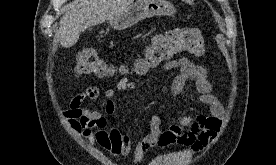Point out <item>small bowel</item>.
Masks as SVG:
<instances>
[{
	"label": "small bowel",
	"mask_w": 276,
	"mask_h": 165,
	"mask_svg": "<svg viewBox=\"0 0 276 165\" xmlns=\"http://www.w3.org/2000/svg\"><path fill=\"white\" fill-rule=\"evenodd\" d=\"M163 70L165 72L178 71L171 84L173 96H183L188 83L192 82L201 94V101L210 106V113L196 117L182 114L165 129L161 128V118L153 116L150 132L135 146V164H139L153 146L165 148L178 144L199 151L214 140L222 125L223 105L212 94V85L203 67L187 58H179L165 62ZM135 86L133 81L124 77L117 82L115 87L107 88L104 91L106 112L108 114L115 112L116 106L113 98L118 92L132 90ZM99 95L100 91L96 86H89L72 99L65 115L90 143L99 145L114 157H125L131 152L133 146L130 136L122 134L117 128H108L105 116L84 106L85 101L96 100Z\"/></svg>",
	"instance_id": "small-bowel-1"
}]
</instances>
